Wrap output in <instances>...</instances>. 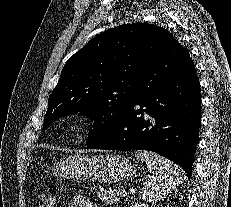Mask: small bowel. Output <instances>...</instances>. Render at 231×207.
Masks as SVG:
<instances>
[{
  "label": "small bowel",
  "instance_id": "obj_1",
  "mask_svg": "<svg viewBox=\"0 0 231 207\" xmlns=\"http://www.w3.org/2000/svg\"><path fill=\"white\" fill-rule=\"evenodd\" d=\"M68 207H97L92 201L84 196H74L68 204Z\"/></svg>",
  "mask_w": 231,
  "mask_h": 207
}]
</instances>
